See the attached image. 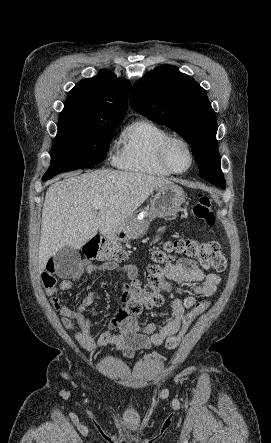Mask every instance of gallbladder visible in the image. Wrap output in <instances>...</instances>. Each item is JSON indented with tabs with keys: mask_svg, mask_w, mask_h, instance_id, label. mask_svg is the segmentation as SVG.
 I'll return each mask as SVG.
<instances>
[{
	"mask_svg": "<svg viewBox=\"0 0 271 443\" xmlns=\"http://www.w3.org/2000/svg\"><path fill=\"white\" fill-rule=\"evenodd\" d=\"M78 259L79 252L66 245L55 255V273L59 278H70L72 273H78V269H82V260Z\"/></svg>",
	"mask_w": 271,
	"mask_h": 443,
	"instance_id": "gallbladder-1",
	"label": "gallbladder"
}]
</instances>
